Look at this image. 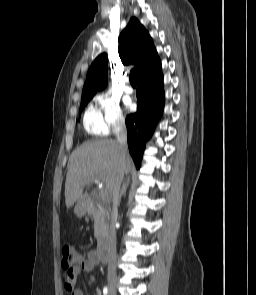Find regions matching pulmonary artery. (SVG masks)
Instances as JSON below:
<instances>
[{
	"label": "pulmonary artery",
	"mask_w": 256,
	"mask_h": 295,
	"mask_svg": "<svg viewBox=\"0 0 256 295\" xmlns=\"http://www.w3.org/2000/svg\"><path fill=\"white\" fill-rule=\"evenodd\" d=\"M124 91L127 94H131L133 92V88L131 87V85L129 83H126L125 87H124Z\"/></svg>",
	"instance_id": "pulmonary-artery-1"
}]
</instances>
